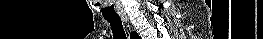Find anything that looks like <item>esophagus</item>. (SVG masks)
I'll return each instance as SVG.
<instances>
[{
    "label": "esophagus",
    "instance_id": "esophagus-1",
    "mask_svg": "<svg viewBox=\"0 0 263 39\" xmlns=\"http://www.w3.org/2000/svg\"><path fill=\"white\" fill-rule=\"evenodd\" d=\"M123 21L127 22V20L125 18H123Z\"/></svg>",
    "mask_w": 263,
    "mask_h": 39
}]
</instances>
